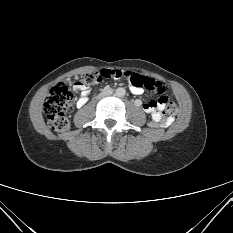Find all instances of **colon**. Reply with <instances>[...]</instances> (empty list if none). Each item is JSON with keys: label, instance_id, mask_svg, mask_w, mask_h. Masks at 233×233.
I'll return each instance as SVG.
<instances>
[{"label": "colon", "instance_id": "colon-1", "mask_svg": "<svg viewBox=\"0 0 233 233\" xmlns=\"http://www.w3.org/2000/svg\"><path fill=\"white\" fill-rule=\"evenodd\" d=\"M106 72L121 73L122 76H127L129 83L137 88H145L154 92V103L163 104V114L169 117L174 116L177 112V105L168 101L161 84L153 79L144 77L137 73L121 72L120 70H92L87 71L81 76L80 83L84 86H90L98 83L101 79V74ZM111 78V77H108ZM74 108V96L70 92L69 87L65 83L55 85L49 92L44 103V110L47 114L48 124L52 130L56 132H64L70 127L69 112ZM164 124L158 116H154L150 123L152 128H158Z\"/></svg>", "mask_w": 233, "mask_h": 233}]
</instances>
